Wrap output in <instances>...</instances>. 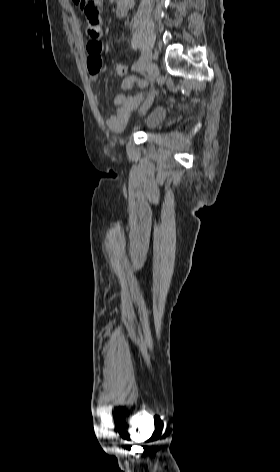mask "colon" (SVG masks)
Returning <instances> with one entry per match:
<instances>
[{"mask_svg":"<svg viewBox=\"0 0 280 472\" xmlns=\"http://www.w3.org/2000/svg\"><path fill=\"white\" fill-rule=\"evenodd\" d=\"M85 14L86 18L91 22H99L100 0H72ZM118 76H126L128 67L124 64H118L115 67Z\"/></svg>","mask_w":280,"mask_h":472,"instance_id":"1","label":"colon"}]
</instances>
